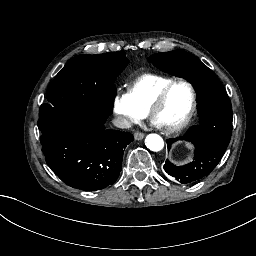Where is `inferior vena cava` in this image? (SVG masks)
<instances>
[{
  "mask_svg": "<svg viewBox=\"0 0 256 256\" xmlns=\"http://www.w3.org/2000/svg\"><path fill=\"white\" fill-rule=\"evenodd\" d=\"M115 124L121 129H131L132 123L124 116H118L115 119Z\"/></svg>",
  "mask_w": 256,
  "mask_h": 256,
  "instance_id": "1",
  "label": "inferior vena cava"
}]
</instances>
